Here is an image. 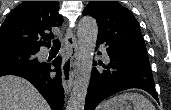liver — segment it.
<instances>
[{
	"label": "liver",
	"instance_id": "1",
	"mask_svg": "<svg viewBox=\"0 0 171 110\" xmlns=\"http://www.w3.org/2000/svg\"><path fill=\"white\" fill-rule=\"evenodd\" d=\"M0 110H50L36 88L18 76L0 77Z\"/></svg>",
	"mask_w": 171,
	"mask_h": 110
}]
</instances>
